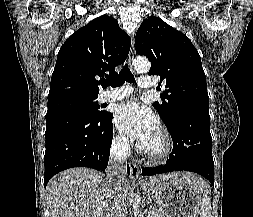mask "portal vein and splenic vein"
<instances>
[{"mask_svg": "<svg viewBox=\"0 0 253 217\" xmlns=\"http://www.w3.org/2000/svg\"><path fill=\"white\" fill-rule=\"evenodd\" d=\"M147 217H153V213L152 212H149Z\"/></svg>", "mask_w": 253, "mask_h": 217, "instance_id": "portal-vein-and-splenic-vein-1", "label": "portal vein and splenic vein"}]
</instances>
